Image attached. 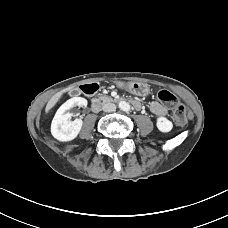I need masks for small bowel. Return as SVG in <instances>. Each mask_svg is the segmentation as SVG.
Wrapping results in <instances>:
<instances>
[{
	"mask_svg": "<svg viewBox=\"0 0 228 228\" xmlns=\"http://www.w3.org/2000/svg\"><path fill=\"white\" fill-rule=\"evenodd\" d=\"M132 103H133L134 107L137 109H139L141 107V103L137 100H134ZM149 108H150V111L156 117H162V116L166 115V113H167L166 107L157 101L150 102Z\"/></svg>",
	"mask_w": 228,
	"mask_h": 228,
	"instance_id": "1",
	"label": "small bowel"
}]
</instances>
